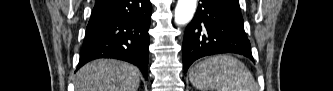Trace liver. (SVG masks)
I'll list each match as a JSON object with an SVG mask.
<instances>
[{"instance_id": "obj_1", "label": "liver", "mask_w": 333, "mask_h": 91, "mask_svg": "<svg viewBox=\"0 0 333 91\" xmlns=\"http://www.w3.org/2000/svg\"><path fill=\"white\" fill-rule=\"evenodd\" d=\"M74 83L76 91H137L140 71L126 62L99 59L80 68Z\"/></svg>"}]
</instances>
